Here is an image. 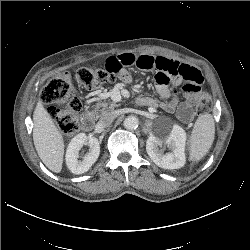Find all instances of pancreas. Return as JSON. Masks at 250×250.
<instances>
[{
  "label": "pancreas",
  "mask_w": 250,
  "mask_h": 250,
  "mask_svg": "<svg viewBox=\"0 0 250 250\" xmlns=\"http://www.w3.org/2000/svg\"><path fill=\"white\" fill-rule=\"evenodd\" d=\"M118 105L114 102H98L95 106V108L93 109L92 113L96 116V117H100L101 115H103L106 111L109 110H113L114 108H116Z\"/></svg>",
  "instance_id": "1"
}]
</instances>
